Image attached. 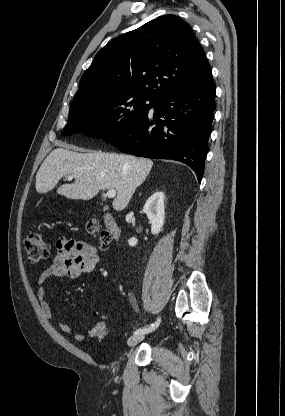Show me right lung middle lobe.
<instances>
[{
    "label": "right lung middle lobe",
    "instance_id": "obj_1",
    "mask_svg": "<svg viewBox=\"0 0 285 416\" xmlns=\"http://www.w3.org/2000/svg\"><path fill=\"white\" fill-rule=\"evenodd\" d=\"M146 101H150V104H146ZM154 105L155 102L147 98L127 96L72 110L62 136L82 132L106 139L133 126L147 116Z\"/></svg>",
    "mask_w": 285,
    "mask_h": 416
}]
</instances>
